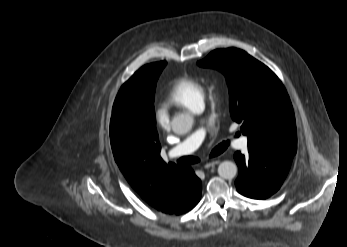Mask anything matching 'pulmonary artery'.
<instances>
[{
  "mask_svg": "<svg viewBox=\"0 0 347 247\" xmlns=\"http://www.w3.org/2000/svg\"><path fill=\"white\" fill-rule=\"evenodd\" d=\"M204 105L200 103L195 108L194 112L200 113L203 111ZM204 139V132L202 130H198L191 135H189L186 139H184L179 145L174 147L170 152V157H176L181 155H186L194 152L201 145ZM232 146L236 149H246L248 146V138L243 136L239 139L233 140Z\"/></svg>",
  "mask_w": 347,
  "mask_h": 247,
  "instance_id": "obj_1",
  "label": "pulmonary artery"
}]
</instances>
